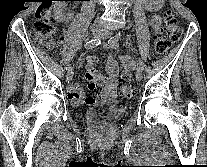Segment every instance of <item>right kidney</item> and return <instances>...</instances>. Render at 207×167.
Returning <instances> with one entry per match:
<instances>
[{
	"mask_svg": "<svg viewBox=\"0 0 207 167\" xmlns=\"http://www.w3.org/2000/svg\"><path fill=\"white\" fill-rule=\"evenodd\" d=\"M65 8V1H55L54 4V14L56 19L59 21H64L68 17L63 13V9ZM71 16V15H70Z\"/></svg>",
	"mask_w": 207,
	"mask_h": 167,
	"instance_id": "right-kidney-1",
	"label": "right kidney"
}]
</instances>
